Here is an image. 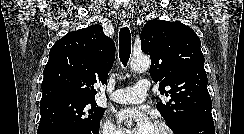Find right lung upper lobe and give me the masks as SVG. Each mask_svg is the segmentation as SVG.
<instances>
[{"mask_svg": "<svg viewBox=\"0 0 244 134\" xmlns=\"http://www.w3.org/2000/svg\"><path fill=\"white\" fill-rule=\"evenodd\" d=\"M115 59L114 41L100 25L72 31L49 52L41 101L69 97L95 101V83H107Z\"/></svg>", "mask_w": 244, "mask_h": 134, "instance_id": "cb5924a9", "label": "right lung upper lobe"}]
</instances>
